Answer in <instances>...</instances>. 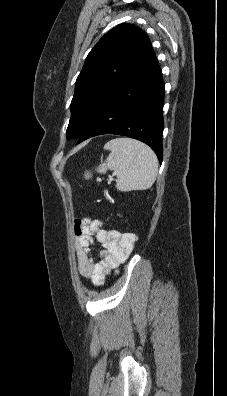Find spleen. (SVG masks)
<instances>
[{
	"label": "spleen",
	"mask_w": 227,
	"mask_h": 396,
	"mask_svg": "<svg viewBox=\"0 0 227 396\" xmlns=\"http://www.w3.org/2000/svg\"><path fill=\"white\" fill-rule=\"evenodd\" d=\"M104 149L111 153L96 170L103 174L108 169L114 171L118 190H146L153 185L158 173V160L146 144L131 138H115L107 142ZM84 176L89 179L92 175L87 171Z\"/></svg>",
	"instance_id": "spleen-1"
}]
</instances>
